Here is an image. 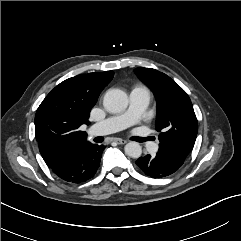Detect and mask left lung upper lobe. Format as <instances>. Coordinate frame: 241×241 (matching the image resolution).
<instances>
[{
	"instance_id": "5c2ea615",
	"label": "left lung upper lobe",
	"mask_w": 241,
	"mask_h": 241,
	"mask_svg": "<svg viewBox=\"0 0 241 241\" xmlns=\"http://www.w3.org/2000/svg\"><path fill=\"white\" fill-rule=\"evenodd\" d=\"M137 75L154 92L157 101L155 128L159 134L157 156L183 165L193 149L198 122L186 92L169 76L152 68H136Z\"/></svg>"
}]
</instances>
